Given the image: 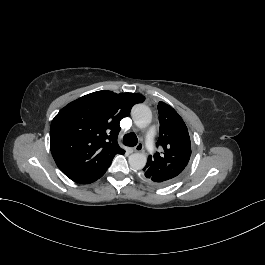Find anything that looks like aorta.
I'll use <instances>...</instances> for the list:
<instances>
[{
  "instance_id": "aorta-1",
  "label": "aorta",
  "mask_w": 265,
  "mask_h": 265,
  "mask_svg": "<svg viewBox=\"0 0 265 265\" xmlns=\"http://www.w3.org/2000/svg\"><path fill=\"white\" fill-rule=\"evenodd\" d=\"M134 123L138 127H145L151 123L152 114L150 109L144 104L135 105L132 109ZM129 165L134 170H141L147 163V157L142 153H134L129 156Z\"/></svg>"
}]
</instances>
